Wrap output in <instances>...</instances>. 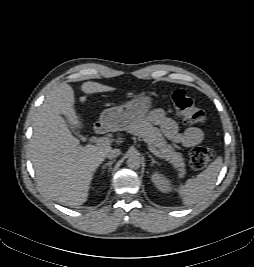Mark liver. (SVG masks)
I'll return each mask as SVG.
<instances>
[{
    "mask_svg": "<svg viewBox=\"0 0 254 267\" xmlns=\"http://www.w3.org/2000/svg\"><path fill=\"white\" fill-rule=\"evenodd\" d=\"M81 90L93 94L115 88L88 81L81 85ZM85 101V97L81 98V102ZM61 114L71 124L83 126L75 110L74 91L67 83L51 90L38 108L29 156L42 190L56 202L75 207L87 201L93 175L111 147L81 146Z\"/></svg>",
    "mask_w": 254,
    "mask_h": 267,
    "instance_id": "6515ba94",
    "label": "liver"
}]
</instances>
